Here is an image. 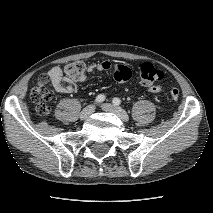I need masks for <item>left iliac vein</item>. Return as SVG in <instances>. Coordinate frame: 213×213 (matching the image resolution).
Returning <instances> with one entry per match:
<instances>
[{
	"label": "left iliac vein",
	"instance_id": "obj_1",
	"mask_svg": "<svg viewBox=\"0 0 213 213\" xmlns=\"http://www.w3.org/2000/svg\"><path fill=\"white\" fill-rule=\"evenodd\" d=\"M101 107L105 111L116 114L122 121L126 122L129 120L128 114L121 107H118V106L110 104V103H105Z\"/></svg>",
	"mask_w": 213,
	"mask_h": 213
}]
</instances>
